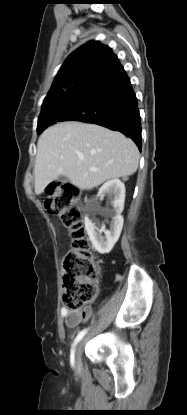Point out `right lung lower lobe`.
I'll use <instances>...</instances> for the list:
<instances>
[{"label": "right lung lower lobe", "mask_w": 187, "mask_h": 415, "mask_svg": "<svg viewBox=\"0 0 187 415\" xmlns=\"http://www.w3.org/2000/svg\"><path fill=\"white\" fill-rule=\"evenodd\" d=\"M63 97L50 116V125L81 121L117 130L142 148L137 98L118 59L81 80Z\"/></svg>", "instance_id": "98d812e1"}]
</instances>
